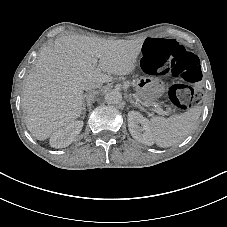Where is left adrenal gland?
I'll return each mask as SVG.
<instances>
[{
  "mask_svg": "<svg viewBox=\"0 0 227 227\" xmlns=\"http://www.w3.org/2000/svg\"><path fill=\"white\" fill-rule=\"evenodd\" d=\"M131 105L135 108H138V105L135 102H131Z\"/></svg>",
  "mask_w": 227,
  "mask_h": 227,
  "instance_id": "a2214340",
  "label": "left adrenal gland"
}]
</instances>
